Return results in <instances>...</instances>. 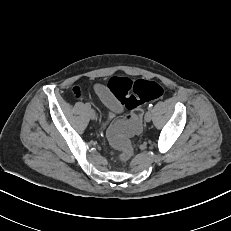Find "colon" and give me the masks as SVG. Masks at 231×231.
Segmentation results:
<instances>
[{"label":"colon","instance_id":"5ec220e1","mask_svg":"<svg viewBox=\"0 0 231 231\" xmlns=\"http://www.w3.org/2000/svg\"><path fill=\"white\" fill-rule=\"evenodd\" d=\"M107 88L126 109L131 111L130 117L123 125H115L108 133V140L114 148L120 151L121 159L128 160L133 154V147L128 136L140 130L141 106L151 100L161 98L165 90L155 81L144 79L132 81L119 76L112 77Z\"/></svg>","mask_w":231,"mask_h":231}]
</instances>
